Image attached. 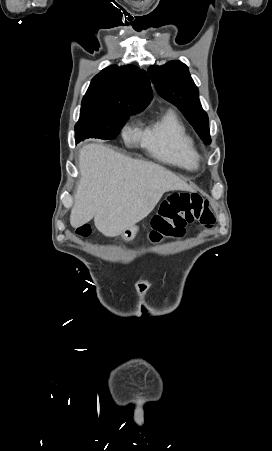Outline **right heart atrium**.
<instances>
[{"label":"right heart atrium","instance_id":"right-heart-atrium-1","mask_svg":"<svg viewBox=\"0 0 272 451\" xmlns=\"http://www.w3.org/2000/svg\"><path fill=\"white\" fill-rule=\"evenodd\" d=\"M132 129L130 128V127H126L125 128V130H124V136H125V138H130V136L132 135Z\"/></svg>","mask_w":272,"mask_h":451}]
</instances>
